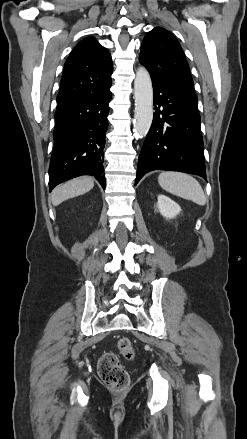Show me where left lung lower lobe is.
I'll list each match as a JSON object with an SVG mask.
<instances>
[{"label": "left lung lower lobe", "instance_id": "1", "mask_svg": "<svg viewBox=\"0 0 247 439\" xmlns=\"http://www.w3.org/2000/svg\"><path fill=\"white\" fill-rule=\"evenodd\" d=\"M155 113L138 160L135 185L152 170L196 174L206 180L198 101L152 80Z\"/></svg>", "mask_w": 247, "mask_h": 439}]
</instances>
